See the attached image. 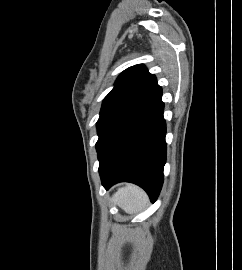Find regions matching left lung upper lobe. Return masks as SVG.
Instances as JSON below:
<instances>
[{
  "mask_svg": "<svg viewBox=\"0 0 242 270\" xmlns=\"http://www.w3.org/2000/svg\"><path fill=\"white\" fill-rule=\"evenodd\" d=\"M158 87L156 77L150 74L144 65L139 64L124 70L117 78L114 88L103 100L97 121L99 139L96 149L112 127Z\"/></svg>",
  "mask_w": 242,
  "mask_h": 270,
  "instance_id": "left-lung-upper-lobe-1",
  "label": "left lung upper lobe"
}]
</instances>
